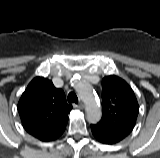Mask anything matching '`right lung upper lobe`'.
Wrapping results in <instances>:
<instances>
[{
  "label": "right lung upper lobe",
  "instance_id": "obj_1",
  "mask_svg": "<svg viewBox=\"0 0 160 158\" xmlns=\"http://www.w3.org/2000/svg\"><path fill=\"white\" fill-rule=\"evenodd\" d=\"M24 129L41 141H53L65 130L72 105L62 89L44 77L34 78L18 102Z\"/></svg>",
  "mask_w": 160,
  "mask_h": 158
}]
</instances>
